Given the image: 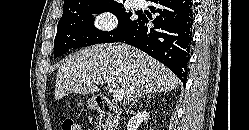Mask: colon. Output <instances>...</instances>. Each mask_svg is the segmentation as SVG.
I'll return each mask as SVG.
<instances>
[{"instance_id":"5ec220e1","label":"colon","mask_w":249,"mask_h":130,"mask_svg":"<svg viewBox=\"0 0 249 130\" xmlns=\"http://www.w3.org/2000/svg\"><path fill=\"white\" fill-rule=\"evenodd\" d=\"M62 130H82V128L70 118H66L61 123Z\"/></svg>"}]
</instances>
